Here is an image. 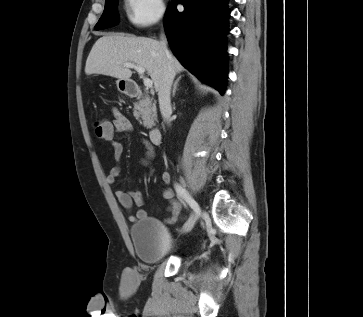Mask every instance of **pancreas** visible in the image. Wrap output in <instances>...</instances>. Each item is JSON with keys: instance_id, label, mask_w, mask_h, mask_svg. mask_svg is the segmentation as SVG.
<instances>
[{"instance_id": "obj_1", "label": "pancreas", "mask_w": 363, "mask_h": 317, "mask_svg": "<svg viewBox=\"0 0 363 317\" xmlns=\"http://www.w3.org/2000/svg\"><path fill=\"white\" fill-rule=\"evenodd\" d=\"M133 114L136 119H139V117L142 118L144 127L150 129L155 126V121L157 120L156 107L152 105L151 100L147 95L134 103Z\"/></svg>"}]
</instances>
